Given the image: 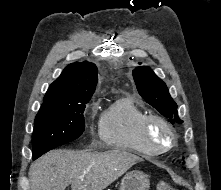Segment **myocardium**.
Returning a JSON list of instances; mask_svg holds the SVG:
<instances>
[{"instance_id": "myocardium-1", "label": "myocardium", "mask_w": 221, "mask_h": 190, "mask_svg": "<svg viewBox=\"0 0 221 190\" xmlns=\"http://www.w3.org/2000/svg\"><path fill=\"white\" fill-rule=\"evenodd\" d=\"M154 123L161 125V127L168 134L169 140L167 144L160 145L151 139L150 129L152 124ZM140 132L143 141L149 147V149L154 153H161L170 150L176 145L177 142L176 134L173 128L171 127L170 123L164 117L158 114H153V113L146 114L141 120Z\"/></svg>"}]
</instances>
